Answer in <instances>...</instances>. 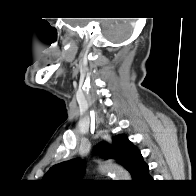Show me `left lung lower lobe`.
<instances>
[{
  "mask_svg": "<svg viewBox=\"0 0 196 196\" xmlns=\"http://www.w3.org/2000/svg\"><path fill=\"white\" fill-rule=\"evenodd\" d=\"M151 179L152 178L149 175L148 165L144 161H141L137 167L135 174H134V180L135 181H147V180H151Z\"/></svg>",
  "mask_w": 196,
  "mask_h": 196,
  "instance_id": "0a47b994",
  "label": "left lung lower lobe"
}]
</instances>
